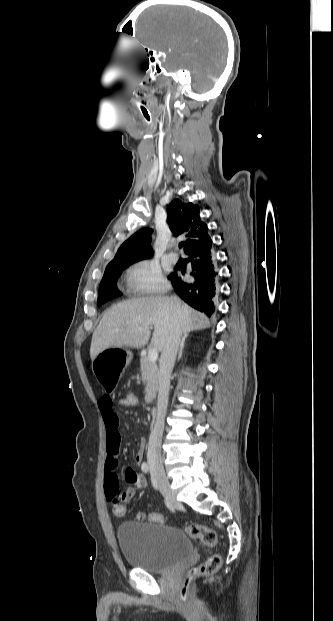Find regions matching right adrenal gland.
Here are the masks:
<instances>
[{"instance_id":"1","label":"right adrenal gland","mask_w":333,"mask_h":621,"mask_svg":"<svg viewBox=\"0 0 333 621\" xmlns=\"http://www.w3.org/2000/svg\"><path fill=\"white\" fill-rule=\"evenodd\" d=\"M186 338H187V334H185L182 337V341H181V344H180V349H179V352H178V358H177L178 360H180L182 358V353H183V349H184V344H185Z\"/></svg>"}]
</instances>
